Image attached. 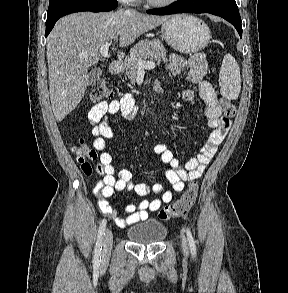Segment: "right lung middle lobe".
<instances>
[{
  "label": "right lung middle lobe",
  "instance_id": "dd1d6c3e",
  "mask_svg": "<svg viewBox=\"0 0 288 293\" xmlns=\"http://www.w3.org/2000/svg\"><path fill=\"white\" fill-rule=\"evenodd\" d=\"M78 2H93L103 5L117 4V0H49V8L47 14L52 13L66 5Z\"/></svg>",
  "mask_w": 288,
  "mask_h": 293
}]
</instances>
